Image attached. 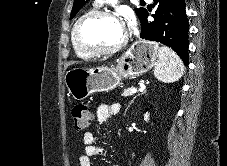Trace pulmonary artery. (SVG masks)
Returning <instances> with one entry per match:
<instances>
[{
    "mask_svg": "<svg viewBox=\"0 0 227 166\" xmlns=\"http://www.w3.org/2000/svg\"><path fill=\"white\" fill-rule=\"evenodd\" d=\"M99 1V3L102 1V0H98ZM145 1H151V0H145Z\"/></svg>",
    "mask_w": 227,
    "mask_h": 166,
    "instance_id": "1",
    "label": "pulmonary artery"
}]
</instances>
